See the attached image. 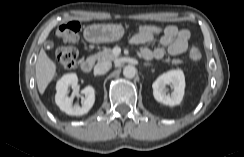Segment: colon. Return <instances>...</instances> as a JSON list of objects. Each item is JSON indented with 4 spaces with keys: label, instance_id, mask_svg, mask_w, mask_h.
Here are the masks:
<instances>
[{
    "label": "colon",
    "instance_id": "colon-1",
    "mask_svg": "<svg viewBox=\"0 0 244 157\" xmlns=\"http://www.w3.org/2000/svg\"><path fill=\"white\" fill-rule=\"evenodd\" d=\"M80 24L77 21H68L61 24L55 31L56 38L61 41L54 54L55 63L64 69L70 70L76 66L78 52L74 44L79 39ZM162 32V28L156 24H143L137 29V33L157 35ZM202 56L199 47H192L190 57L198 60Z\"/></svg>",
    "mask_w": 244,
    "mask_h": 157
}]
</instances>
